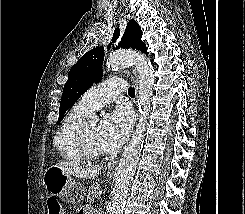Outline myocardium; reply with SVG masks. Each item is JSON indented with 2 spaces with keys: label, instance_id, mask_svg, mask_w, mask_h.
Listing matches in <instances>:
<instances>
[{
  "label": "myocardium",
  "instance_id": "obj_1",
  "mask_svg": "<svg viewBox=\"0 0 245 214\" xmlns=\"http://www.w3.org/2000/svg\"><path fill=\"white\" fill-rule=\"evenodd\" d=\"M87 124L88 122L84 121L80 125L75 138L76 146L79 153L82 155L84 159H98L101 156H103V152L94 151L89 147L86 134Z\"/></svg>",
  "mask_w": 245,
  "mask_h": 214
}]
</instances>
